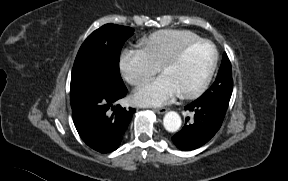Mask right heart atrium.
I'll use <instances>...</instances> for the list:
<instances>
[{
  "label": "right heart atrium",
  "mask_w": 288,
  "mask_h": 181,
  "mask_svg": "<svg viewBox=\"0 0 288 181\" xmlns=\"http://www.w3.org/2000/svg\"><path fill=\"white\" fill-rule=\"evenodd\" d=\"M119 68L125 80L138 86L152 77L158 70L141 48H126L119 58Z\"/></svg>",
  "instance_id": "obj_1"
}]
</instances>
